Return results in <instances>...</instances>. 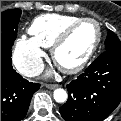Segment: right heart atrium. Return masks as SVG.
I'll return each instance as SVG.
<instances>
[{"label": "right heart atrium", "instance_id": "obj_1", "mask_svg": "<svg viewBox=\"0 0 121 121\" xmlns=\"http://www.w3.org/2000/svg\"><path fill=\"white\" fill-rule=\"evenodd\" d=\"M45 53L32 38L20 36L14 44L13 63L24 76L31 77L41 71Z\"/></svg>", "mask_w": 121, "mask_h": 121}]
</instances>
